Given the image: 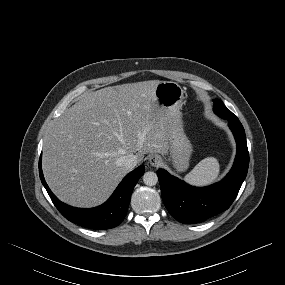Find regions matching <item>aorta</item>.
Listing matches in <instances>:
<instances>
[{"mask_svg": "<svg viewBox=\"0 0 285 285\" xmlns=\"http://www.w3.org/2000/svg\"><path fill=\"white\" fill-rule=\"evenodd\" d=\"M143 182L147 186H154L158 182V176L155 172L149 171L143 175Z\"/></svg>", "mask_w": 285, "mask_h": 285, "instance_id": "aorta-1", "label": "aorta"}]
</instances>
